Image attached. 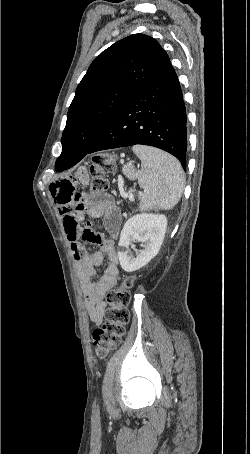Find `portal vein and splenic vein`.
Masks as SVG:
<instances>
[{"label":"portal vein and splenic vein","mask_w":250,"mask_h":454,"mask_svg":"<svg viewBox=\"0 0 250 454\" xmlns=\"http://www.w3.org/2000/svg\"><path fill=\"white\" fill-rule=\"evenodd\" d=\"M122 197H123V198H128L130 201H134V196H133V194L122 193Z\"/></svg>","instance_id":"portal-vein-and-splenic-vein-1"}]
</instances>
